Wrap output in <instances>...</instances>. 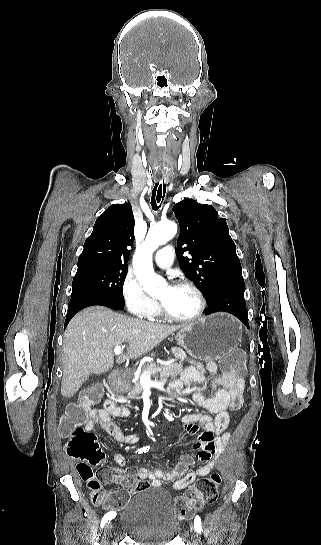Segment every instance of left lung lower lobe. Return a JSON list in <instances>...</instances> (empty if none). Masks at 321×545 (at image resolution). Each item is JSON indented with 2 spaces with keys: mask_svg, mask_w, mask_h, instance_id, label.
I'll return each instance as SVG.
<instances>
[{
  "mask_svg": "<svg viewBox=\"0 0 321 545\" xmlns=\"http://www.w3.org/2000/svg\"><path fill=\"white\" fill-rule=\"evenodd\" d=\"M205 298L208 302L206 315L219 311L228 312L249 328L242 275L226 278L215 284L211 294Z\"/></svg>",
  "mask_w": 321,
  "mask_h": 545,
  "instance_id": "left-lung-lower-lobe-1",
  "label": "left lung lower lobe"
}]
</instances>
